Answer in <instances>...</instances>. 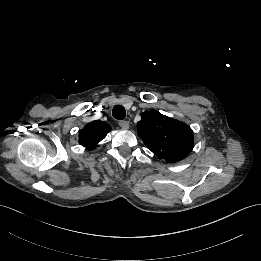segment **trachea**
I'll return each mask as SVG.
<instances>
[{
	"mask_svg": "<svg viewBox=\"0 0 261 261\" xmlns=\"http://www.w3.org/2000/svg\"><path fill=\"white\" fill-rule=\"evenodd\" d=\"M113 117L117 120H122L126 116V110L121 105H116L112 110Z\"/></svg>",
	"mask_w": 261,
	"mask_h": 261,
	"instance_id": "trachea-1",
	"label": "trachea"
}]
</instances>
